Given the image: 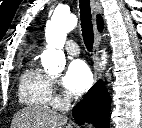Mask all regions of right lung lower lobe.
I'll return each mask as SVG.
<instances>
[{
  "label": "right lung lower lobe",
  "instance_id": "right-lung-lower-lobe-1",
  "mask_svg": "<svg viewBox=\"0 0 142 128\" xmlns=\"http://www.w3.org/2000/svg\"><path fill=\"white\" fill-rule=\"evenodd\" d=\"M110 95L102 81H98L77 104L72 115L79 124L92 123L96 128H109Z\"/></svg>",
  "mask_w": 142,
  "mask_h": 128
}]
</instances>
